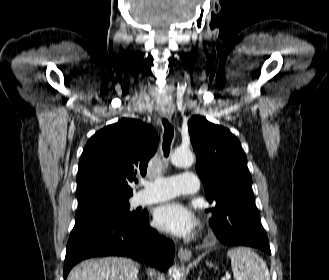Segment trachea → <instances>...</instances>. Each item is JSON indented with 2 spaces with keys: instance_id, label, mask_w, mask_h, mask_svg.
I'll return each instance as SVG.
<instances>
[{
  "instance_id": "3493384b",
  "label": "trachea",
  "mask_w": 329,
  "mask_h": 280,
  "mask_svg": "<svg viewBox=\"0 0 329 280\" xmlns=\"http://www.w3.org/2000/svg\"><path fill=\"white\" fill-rule=\"evenodd\" d=\"M162 124L164 126V134H163V152L164 156L168 157L170 153V145L174 136V129L168 120L162 119Z\"/></svg>"
}]
</instances>
